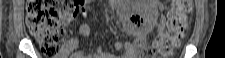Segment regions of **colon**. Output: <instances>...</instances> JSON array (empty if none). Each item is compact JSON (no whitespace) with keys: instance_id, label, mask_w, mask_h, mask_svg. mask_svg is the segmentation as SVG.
Masks as SVG:
<instances>
[{"instance_id":"colon-1","label":"colon","mask_w":225,"mask_h":58,"mask_svg":"<svg viewBox=\"0 0 225 58\" xmlns=\"http://www.w3.org/2000/svg\"><path fill=\"white\" fill-rule=\"evenodd\" d=\"M81 1L28 0L26 23L37 40L42 52L56 56L63 51L65 40L64 20L78 14ZM191 11L189 0H173L167 15L165 32L153 45H142L137 49L138 58H151L156 53L170 56L184 37L186 18Z\"/></svg>"}]
</instances>
